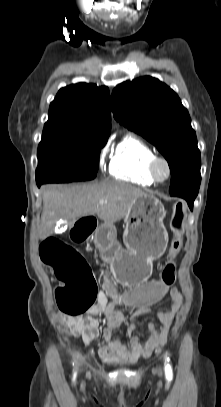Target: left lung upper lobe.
I'll return each mask as SVG.
<instances>
[{"label": "left lung upper lobe", "mask_w": 221, "mask_h": 407, "mask_svg": "<svg viewBox=\"0 0 221 407\" xmlns=\"http://www.w3.org/2000/svg\"><path fill=\"white\" fill-rule=\"evenodd\" d=\"M114 117L142 135L168 161L169 192L198 180L201 157L187 109L166 84L150 76L118 85L112 92Z\"/></svg>", "instance_id": "5c2ea615"}]
</instances>
